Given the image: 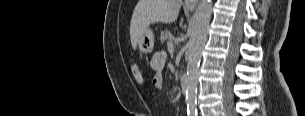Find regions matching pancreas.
Returning <instances> with one entry per match:
<instances>
[{
	"label": "pancreas",
	"mask_w": 305,
	"mask_h": 116,
	"mask_svg": "<svg viewBox=\"0 0 305 116\" xmlns=\"http://www.w3.org/2000/svg\"><path fill=\"white\" fill-rule=\"evenodd\" d=\"M161 43L163 44L164 42H169L171 41V33L168 30L162 31L161 35L159 37Z\"/></svg>",
	"instance_id": "pancreas-1"
}]
</instances>
